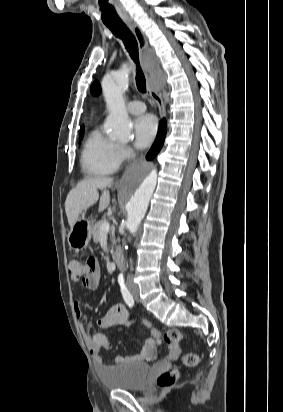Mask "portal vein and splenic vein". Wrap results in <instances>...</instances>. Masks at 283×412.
Instances as JSON below:
<instances>
[{
  "label": "portal vein and splenic vein",
  "instance_id": "1",
  "mask_svg": "<svg viewBox=\"0 0 283 412\" xmlns=\"http://www.w3.org/2000/svg\"><path fill=\"white\" fill-rule=\"evenodd\" d=\"M110 229V224L108 222H105L101 226V233H107Z\"/></svg>",
  "mask_w": 283,
  "mask_h": 412
}]
</instances>
